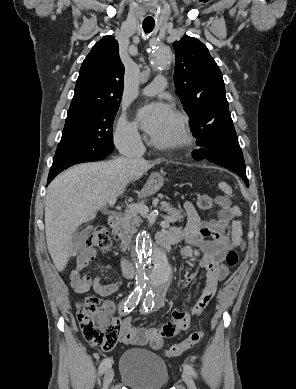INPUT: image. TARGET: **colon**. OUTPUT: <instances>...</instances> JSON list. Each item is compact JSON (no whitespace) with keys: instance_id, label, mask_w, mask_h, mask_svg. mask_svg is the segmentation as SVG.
<instances>
[{"instance_id":"1","label":"colon","mask_w":296,"mask_h":389,"mask_svg":"<svg viewBox=\"0 0 296 389\" xmlns=\"http://www.w3.org/2000/svg\"><path fill=\"white\" fill-rule=\"evenodd\" d=\"M213 205L212 197L208 194H200L197 198V206L202 211H208ZM86 244L91 248L107 251L111 242L108 231L103 227L95 228L87 237ZM238 254L229 250L226 254V263L234 267L238 263ZM77 318L84 338L93 346L104 351H111L117 344L120 335V324L110 317L109 311L100 305L99 299L93 295L86 296L78 306ZM204 336L203 331H193L180 343L170 346L166 350L168 357H177L183 352L198 344Z\"/></svg>"}]
</instances>
